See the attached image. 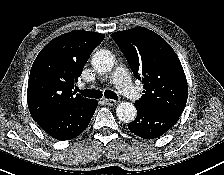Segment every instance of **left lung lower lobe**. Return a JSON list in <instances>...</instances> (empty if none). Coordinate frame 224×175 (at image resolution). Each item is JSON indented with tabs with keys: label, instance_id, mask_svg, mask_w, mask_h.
Listing matches in <instances>:
<instances>
[{
	"label": "left lung lower lobe",
	"instance_id": "obj_1",
	"mask_svg": "<svg viewBox=\"0 0 224 175\" xmlns=\"http://www.w3.org/2000/svg\"><path fill=\"white\" fill-rule=\"evenodd\" d=\"M135 106L137 117L133 122L128 124V128L143 139L160 137L172 128L180 117L172 113L153 111L137 105Z\"/></svg>",
	"mask_w": 224,
	"mask_h": 175
}]
</instances>
